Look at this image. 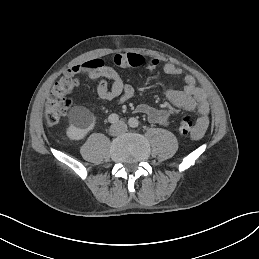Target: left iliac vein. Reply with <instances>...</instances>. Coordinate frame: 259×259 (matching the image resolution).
<instances>
[{"label":"left iliac vein","instance_id":"left-iliac-vein-1","mask_svg":"<svg viewBox=\"0 0 259 259\" xmlns=\"http://www.w3.org/2000/svg\"><path fill=\"white\" fill-rule=\"evenodd\" d=\"M118 126L120 127L121 132L124 133V132L127 131V125H126L124 122L120 121V122L118 123Z\"/></svg>","mask_w":259,"mask_h":259}]
</instances>
